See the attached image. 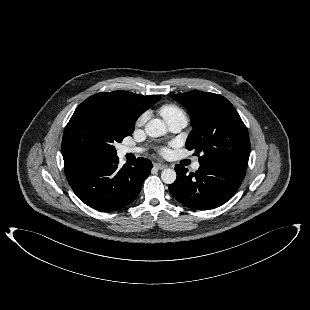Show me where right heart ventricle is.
Instances as JSON below:
<instances>
[{"instance_id": "1", "label": "right heart ventricle", "mask_w": 310, "mask_h": 310, "mask_svg": "<svg viewBox=\"0 0 310 310\" xmlns=\"http://www.w3.org/2000/svg\"><path fill=\"white\" fill-rule=\"evenodd\" d=\"M159 114L168 122L174 118L186 119V113L182 108L175 104H165L158 109Z\"/></svg>"}]
</instances>
